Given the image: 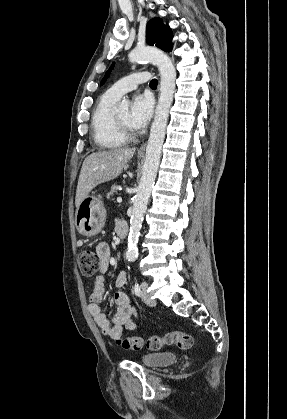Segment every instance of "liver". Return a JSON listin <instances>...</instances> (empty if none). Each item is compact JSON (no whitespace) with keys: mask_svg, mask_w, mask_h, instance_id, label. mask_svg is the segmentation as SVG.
<instances>
[{"mask_svg":"<svg viewBox=\"0 0 287 419\" xmlns=\"http://www.w3.org/2000/svg\"><path fill=\"white\" fill-rule=\"evenodd\" d=\"M134 153L135 148H117L93 152L87 156L79 175L76 208L96 186L117 178Z\"/></svg>","mask_w":287,"mask_h":419,"instance_id":"6515ba94","label":"liver"}]
</instances>
